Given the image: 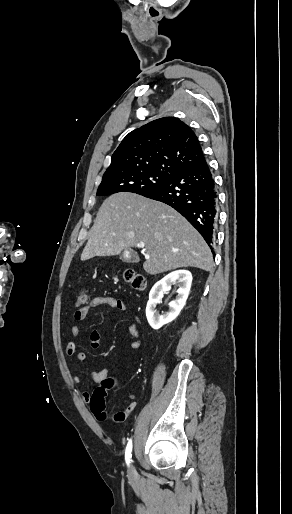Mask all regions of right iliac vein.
<instances>
[{
	"label": "right iliac vein",
	"mask_w": 292,
	"mask_h": 514,
	"mask_svg": "<svg viewBox=\"0 0 292 514\" xmlns=\"http://www.w3.org/2000/svg\"><path fill=\"white\" fill-rule=\"evenodd\" d=\"M128 475L131 478L135 476V469H134L133 465L130 467V469L128 471Z\"/></svg>",
	"instance_id": "63e3f726"
}]
</instances>
